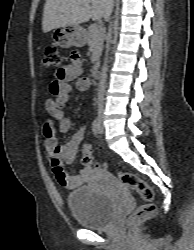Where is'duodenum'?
<instances>
[{
  "mask_svg": "<svg viewBox=\"0 0 194 250\" xmlns=\"http://www.w3.org/2000/svg\"><path fill=\"white\" fill-rule=\"evenodd\" d=\"M99 74H100V64L95 63L92 67V76L94 79H97L99 77Z\"/></svg>",
  "mask_w": 194,
  "mask_h": 250,
  "instance_id": "1",
  "label": "duodenum"
}]
</instances>
